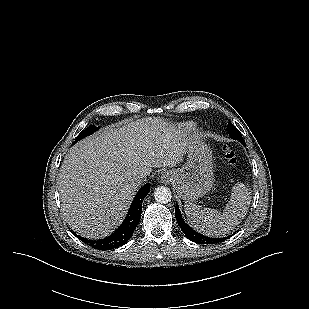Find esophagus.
Returning a JSON list of instances; mask_svg holds the SVG:
<instances>
[{"mask_svg":"<svg viewBox=\"0 0 309 309\" xmlns=\"http://www.w3.org/2000/svg\"><path fill=\"white\" fill-rule=\"evenodd\" d=\"M171 180V177L168 173H163L161 176V181L164 183H168Z\"/></svg>","mask_w":309,"mask_h":309,"instance_id":"esophagus-1","label":"esophagus"}]
</instances>
